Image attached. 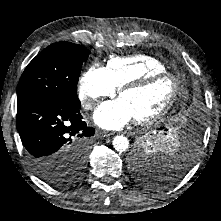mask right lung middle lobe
Returning a JSON list of instances; mask_svg holds the SVG:
<instances>
[{
    "label": "right lung middle lobe",
    "mask_w": 221,
    "mask_h": 221,
    "mask_svg": "<svg viewBox=\"0 0 221 221\" xmlns=\"http://www.w3.org/2000/svg\"><path fill=\"white\" fill-rule=\"evenodd\" d=\"M90 51L82 45L57 42L40 52L26 67L17 88V105L34 98H52L79 105L77 83ZM90 140L75 144L64 164H51L38 175L57 187L79 181L84 173Z\"/></svg>",
    "instance_id": "obj_1"
}]
</instances>
